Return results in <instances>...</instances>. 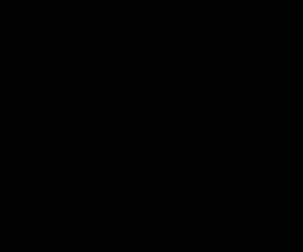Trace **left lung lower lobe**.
Segmentation results:
<instances>
[{
  "mask_svg": "<svg viewBox=\"0 0 303 252\" xmlns=\"http://www.w3.org/2000/svg\"><path fill=\"white\" fill-rule=\"evenodd\" d=\"M210 149H211V151H216V149L214 147H211Z\"/></svg>",
  "mask_w": 303,
  "mask_h": 252,
  "instance_id": "obj_1",
  "label": "left lung lower lobe"
}]
</instances>
